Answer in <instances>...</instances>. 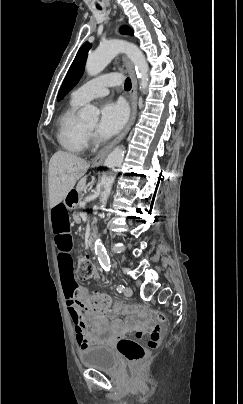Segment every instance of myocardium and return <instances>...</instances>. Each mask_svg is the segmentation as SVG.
<instances>
[{
    "label": "myocardium",
    "mask_w": 243,
    "mask_h": 404,
    "mask_svg": "<svg viewBox=\"0 0 243 404\" xmlns=\"http://www.w3.org/2000/svg\"><path fill=\"white\" fill-rule=\"evenodd\" d=\"M97 34H100V33H97ZM104 45V44H103ZM82 129H83V131L85 132V134H87V135H89L91 132H92V130H90V129H88L85 125H83L82 124Z\"/></svg>",
    "instance_id": "obj_1"
}]
</instances>
